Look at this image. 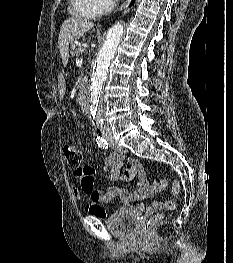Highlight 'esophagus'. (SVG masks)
Listing matches in <instances>:
<instances>
[{
    "label": "esophagus",
    "mask_w": 233,
    "mask_h": 263,
    "mask_svg": "<svg viewBox=\"0 0 233 263\" xmlns=\"http://www.w3.org/2000/svg\"><path fill=\"white\" fill-rule=\"evenodd\" d=\"M129 2L130 0H127L116 12H121L124 10L128 6Z\"/></svg>",
    "instance_id": "obj_1"
}]
</instances>
